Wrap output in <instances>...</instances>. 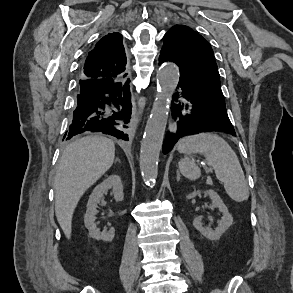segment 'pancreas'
Here are the masks:
<instances>
[{
	"label": "pancreas",
	"mask_w": 293,
	"mask_h": 293,
	"mask_svg": "<svg viewBox=\"0 0 293 293\" xmlns=\"http://www.w3.org/2000/svg\"><path fill=\"white\" fill-rule=\"evenodd\" d=\"M208 184H210V185H211V184H212V182H211V181H208Z\"/></svg>",
	"instance_id": "1"
}]
</instances>
